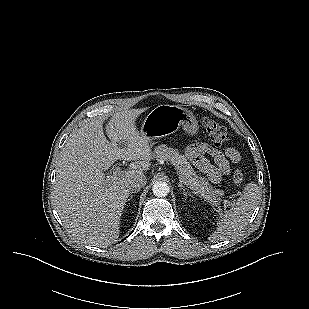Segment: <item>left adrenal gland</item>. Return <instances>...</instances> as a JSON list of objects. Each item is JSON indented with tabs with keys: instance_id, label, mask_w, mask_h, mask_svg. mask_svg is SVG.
<instances>
[{
	"instance_id": "left-adrenal-gland-1",
	"label": "left adrenal gland",
	"mask_w": 309,
	"mask_h": 309,
	"mask_svg": "<svg viewBox=\"0 0 309 309\" xmlns=\"http://www.w3.org/2000/svg\"><path fill=\"white\" fill-rule=\"evenodd\" d=\"M178 186L180 187L181 190H183V194H184L185 197L187 196V194L190 195V193L188 191H186V188H185V186H183L182 183H179Z\"/></svg>"
}]
</instances>
